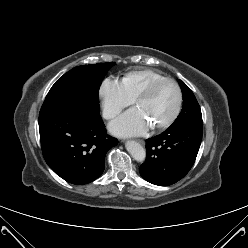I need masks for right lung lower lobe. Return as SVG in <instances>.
<instances>
[{"instance_id": "obj_1", "label": "right lung lower lobe", "mask_w": 248, "mask_h": 248, "mask_svg": "<svg viewBox=\"0 0 248 248\" xmlns=\"http://www.w3.org/2000/svg\"><path fill=\"white\" fill-rule=\"evenodd\" d=\"M99 113V102L82 98L39 117L44 159L67 182L83 185L97 179L107 151L118 143L106 133Z\"/></svg>"}]
</instances>
